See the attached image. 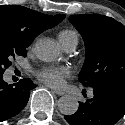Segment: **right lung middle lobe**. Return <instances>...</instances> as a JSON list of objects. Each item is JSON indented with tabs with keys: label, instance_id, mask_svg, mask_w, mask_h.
<instances>
[{
	"label": "right lung middle lobe",
	"instance_id": "right-lung-middle-lobe-1",
	"mask_svg": "<svg viewBox=\"0 0 125 125\" xmlns=\"http://www.w3.org/2000/svg\"><path fill=\"white\" fill-rule=\"evenodd\" d=\"M25 47H13L8 44H0V75L11 65L10 60L15 56H26Z\"/></svg>",
	"mask_w": 125,
	"mask_h": 125
}]
</instances>
